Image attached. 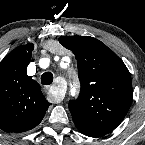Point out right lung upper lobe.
Listing matches in <instances>:
<instances>
[{"mask_svg": "<svg viewBox=\"0 0 145 145\" xmlns=\"http://www.w3.org/2000/svg\"><path fill=\"white\" fill-rule=\"evenodd\" d=\"M33 44L19 46L0 62V128L24 132L36 127L51 105L27 75Z\"/></svg>", "mask_w": 145, "mask_h": 145, "instance_id": "right-lung-upper-lobe-1", "label": "right lung upper lobe"}]
</instances>
